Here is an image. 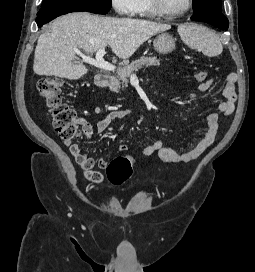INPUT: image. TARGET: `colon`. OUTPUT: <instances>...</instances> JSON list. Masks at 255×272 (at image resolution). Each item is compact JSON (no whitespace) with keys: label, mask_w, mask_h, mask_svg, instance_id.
Returning a JSON list of instances; mask_svg holds the SVG:
<instances>
[{"label":"colon","mask_w":255,"mask_h":272,"mask_svg":"<svg viewBox=\"0 0 255 272\" xmlns=\"http://www.w3.org/2000/svg\"><path fill=\"white\" fill-rule=\"evenodd\" d=\"M207 78L205 69L195 73V80L202 83ZM65 81L60 77H44L38 82V92L52 117L54 130L65 141H71L80 134L76 113L62 101ZM133 160L127 156L113 159L107 167V177L114 185L124 183L132 173Z\"/></svg>","instance_id":"colon-1"}]
</instances>
